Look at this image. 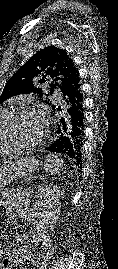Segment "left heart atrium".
I'll list each match as a JSON object with an SVG mask.
<instances>
[{
	"label": "left heart atrium",
	"mask_w": 118,
	"mask_h": 269,
	"mask_svg": "<svg viewBox=\"0 0 118 269\" xmlns=\"http://www.w3.org/2000/svg\"><path fill=\"white\" fill-rule=\"evenodd\" d=\"M36 113H37L38 118H39L42 122H45L43 113L40 112V111H37Z\"/></svg>",
	"instance_id": "39dd6f15"
}]
</instances>
